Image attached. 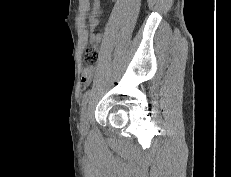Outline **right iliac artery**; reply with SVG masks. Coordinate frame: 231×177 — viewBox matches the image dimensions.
<instances>
[{"mask_svg":"<svg viewBox=\"0 0 231 177\" xmlns=\"http://www.w3.org/2000/svg\"><path fill=\"white\" fill-rule=\"evenodd\" d=\"M90 95H91V90H88L84 93L83 99H82V106H85L87 104Z\"/></svg>","mask_w":231,"mask_h":177,"instance_id":"obj_1","label":"right iliac artery"}]
</instances>
